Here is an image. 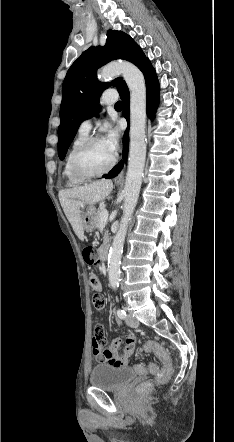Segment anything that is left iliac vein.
<instances>
[{
  "instance_id": "1",
  "label": "left iliac vein",
  "mask_w": 234,
  "mask_h": 442,
  "mask_svg": "<svg viewBox=\"0 0 234 442\" xmlns=\"http://www.w3.org/2000/svg\"><path fill=\"white\" fill-rule=\"evenodd\" d=\"M126 324L130 327H137L139 325V322L136 318L132 317L131 315H128L125 319Z\"/></svg>"
}]
</instances>
